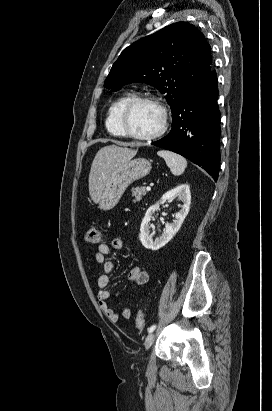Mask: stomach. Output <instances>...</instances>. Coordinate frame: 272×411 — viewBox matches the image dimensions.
<instances>
[{
    "mask_svg": "<svg viewBox=\"0 0 272 411\" xmlns=\"http://www.w3.org/2000/svg\"><path fill=\"white\" fill-rule=\"evenodd\" d=\"M151 168L150 161L145 158H131L115 168L104 184L98 202L99 208L104 211L114 208L126 188L134 181L148 175Z\"/></svg>",
    "mask_w": 272,
    "mask_h": 411,
    "instance_id": "0dacf381",
    "label": "stomach"
}]
</instances>
